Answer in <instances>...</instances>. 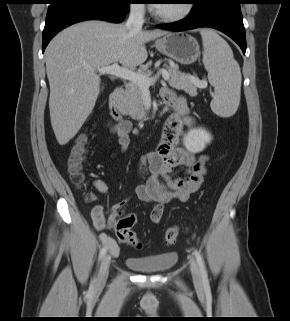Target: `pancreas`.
Instances as JSON below:
<instances>
[{
  "mask_svg": "<svg viewBox=\"0 0 290 321\" xmlns=\"http://www.w3.org/2000/svg\"><path fill=\"white\" fill-rule=\"evenodd\" d=\"M167 70L170 74L169 85L178 90H183L190 96L197 95L198 85L191 80V75L179 71L178 65L169 62ZM140 73L150 76L151 71L141 68ZM198 79L197 77H194ZM119 109L125 114H129L133 119H142L146 114L142 96V87L130 81L126 85L124 95L119 104Z\"/></svg>",
  "mask_w": 290,
  "mask_h": 321,
  "instance_id": "cf45deb5",
  "label": "pancreas"
}]
</instances>
